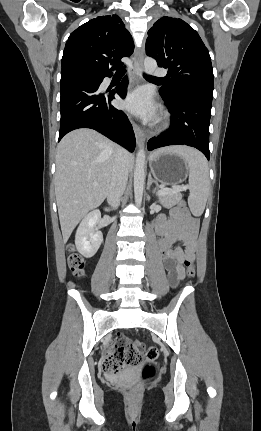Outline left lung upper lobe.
<instances>
[{"mask_svg": "<svg viewBox=\"0 0 261 431\" xmlns=\"http://www.w3.org/2000/svg\"><path fill=\"white\" fill-rule=\"evenodd\" d=\"M146 52L168 68L169 84L160 91L169 99L183 92L213 94V69L198 33L181 19L163 17L148 31Z\"/></svg>", "mask_w": 261, "mask_h": 431, "instance_id": "5c2ea615", "label": "left lung upper lobe"}]
</instances>
